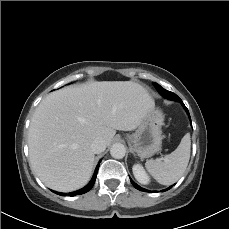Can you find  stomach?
I'll return each mask as SVG.
<instances>
[{
  "label": "stomach",
  "instance_id": "obj_1",
  "mask_svg": "<svg viewBox=\"0 0 229 229\" xmlns=\"http://www.w3.org/2000/svg\"><path fill=\"white\" fill-rule=\"evenodd\" d=\"M163 121V113L153 108L146 114L137 130L127 136L133 150L141 159L149 158L161 149Z\"/></svg>",
  "mask_w": 229,
  "mask_h": 229
}]
</instances>
